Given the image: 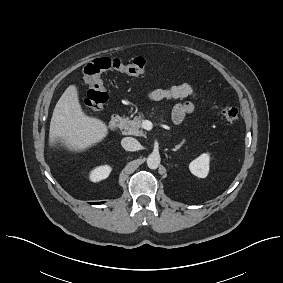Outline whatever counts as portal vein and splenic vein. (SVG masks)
I'll use <instances>...</instances> for the list:
<instances>
[{"label": "portal vein and splenic vein", "mask_w": 283, "mask_h": 283, "mask_svg": "<svg viewBox=\"0 0 283 283\" xmlns=\"http://www.w3.org/2000/svg\"><path fill=\"white\" fill-rule=\"evenodd\" d=\"M145 124L148 126V128H151L152 123L150 121H145Z\"/></svg>", "instance_id": "portal-vein-and-splenic-vein-1"}]
</instances>
